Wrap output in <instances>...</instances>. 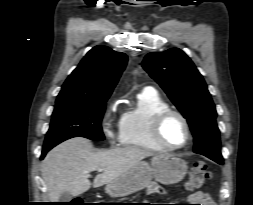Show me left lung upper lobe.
<instances>
[{
    "mask_svg": "<svg viewBox=\"0 0 253 205\" xmlns=\"http://www.w3.org/2000/svg\"><path fill=\"white\" fill-rule=\"evenodd\" d=\"M143 68L187 119L194 135V152L222 164L217 112L206 83L190 58L172 48L147 54Z\"/></svg>",
    "mask_w": 253,
    "mask_h": 205,
    "instance_id": "1",
    "label": "left lung upper lobe"
}]
</instances>
